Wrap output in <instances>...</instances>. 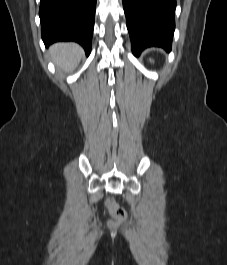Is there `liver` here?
Listing matches in <instances>:
<instances>
[{
	"instance_id": "obj_1",
	"label": "liver",
	"mask_w": 227,
	"mask_h": 265,
	"mask_svg": "<svg viewBox=\"0 0 227 265\" xmlns=\"http://www.w3.org/2000/svg\"><path fill=\"white\" fill-rule=\"evenodd\" d=\"M55 65L65 72H72L78 66L83 49L76 43H56L49 50Z\"/></svg>"
}]
</instances>
